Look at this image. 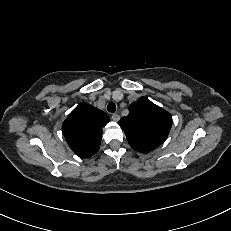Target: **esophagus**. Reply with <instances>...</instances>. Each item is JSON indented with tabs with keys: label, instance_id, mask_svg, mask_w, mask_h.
<instances>
[{
	"label": "esophagus",
	"instance_id": "1",
	"mask_svg": "<svg viewBox=\"0 0 231 231\" xmlns=\"http://www.w3.org/2000/svg\"><path fill=\"white\" fill-rule=\"evenodd\" d=\"M113 121H118L120 119V116L117 113L112 114L111 116Z\"/></svg>",
	"mask_w": 231,
	"mask_h": 231
}]
</instances>
